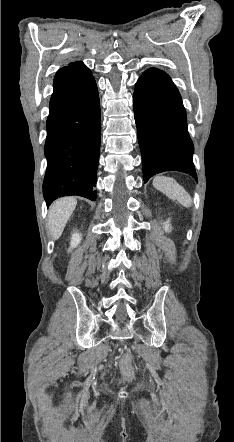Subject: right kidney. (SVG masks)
I'll return each mask as SVG.
<instances>
[{"label": "right kidney", "instance_id": "ca27d5eb", "mask_svg": "<svg viewBox=\"0 0 234 442\" xmlns=\"http://www.w3.org/2000/svg\"><path fill=\"white\" fill-rule=\"evenodd\" d=\"M81 241V234L75 232L74 234H72V238H71V244H70V249L69 251L76 247Z\"/></svg>", "mask_w": 234, "mask_h": 442}]
</instances>
